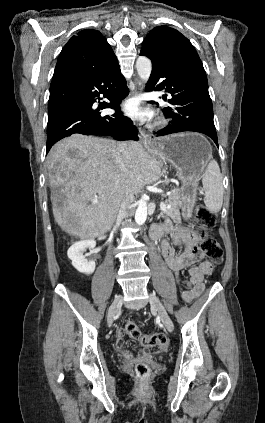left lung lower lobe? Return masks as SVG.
Masks as SVG:
<instances>
[{
    "instance_id": "left-lung-lower-lobe-1",
    "label": "left lung lower lobe",
    "mask_w": 265,
    "mask_h": 423,
    "mask_svg": "<svg viewBox=\"0 0 265 423\" xmlns=\"http://www.w3.org/2000/svg\"><path fill=\"white\" fill-rule=\"evenodd\" d=\"M160 78L164 80L155 87ZM164 87L172 95L168 100L172 106L162 111L172 121L158 131L157 136L193 131L208 135L218 146L206 73L191 43L182 42L169 55L152 63L147 89L160 90ZM163 99L166 100V97Z\"/></svg>"
}]
</instances>
